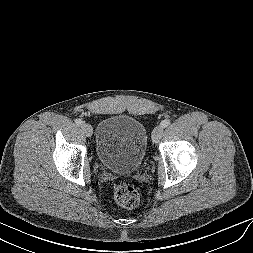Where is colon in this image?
Returning a JSON list of instances; mask_svg holds the SVG:
<instances>
[{
  "instance_id": "5ec220e1",
  "label": "colon",
  "mask_w": 253,
  "mask_h": 253,
  "mask_svg": "<svg viewBox=\"0 0 253 253\" xmlns=\"http://www.w3.org/2000/svg\"><path fill=\"white\" fill-rule=\"evenodd\" d=\"M115 201L124 208L133 209L139 205L138 191L126 183H118L113 188Z\"/></svg>"
}]
</instances>
